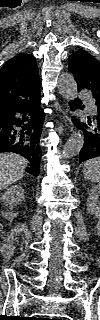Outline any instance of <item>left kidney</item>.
Returning a JSON list of instances; mask_svg holds the SVG:
<instances>
[{
	"label": "left kidney",
	"mask_w": 100,
	"mask_h": 320,
	"mask_svg": "<svg viewBox=\"0 0 100 320\" xmlns=\"http://www.w3.org/2000/svg\"><path fill=\"white\" fill-rule=\"evenodd\" d=\"M87 211L89 214L97 218L100 216V186L98 185L93 186L89 190Z\"/></svg>",
	"instance_id": "obj_1"
}]
</instances>
